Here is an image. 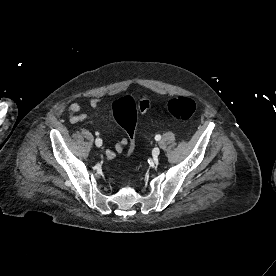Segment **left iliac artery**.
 <instances>
[{
	"instance_id": "obj_1",
	"label": "left iliac artery",
	"mask_w": 276,
	"mask_h": 276,
	"mask_svg": "<svg viewBox=\"0 0 276 276\" xmlns=\"http://www.w3.org/2000/svg\"><path fill=\"white\" fill-rule=\"evenodd\" d=\"M160 139H161V136L159 134L155 136L156 141H159Z\"/></svg>"
}]
</instances>
